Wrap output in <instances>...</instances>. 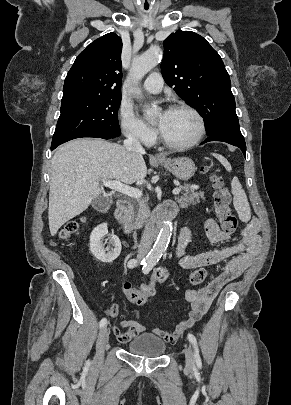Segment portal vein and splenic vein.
Instances as JSON below:
<instances>
[{
	"instance_id": "1",
	"label": "portal vein and splenic vein",
	"mask_w": 291,
	"mask_h": 405,
	"mask_svg": "<svg viewBox=\"0 0 291 405\" xmlns=\"http://www.w3.org/2000/svg\"><path fill=\"white\" fill-rule=\"evenodd\" d=\"M103 186L111 188L112 190H115L117 192H120L122 194H125L129 197L139 199L142 196V192L139 189L132 188L130 186H127L125 184H122L120 181H103ZM199 186L197 185H192L191 189H198ZM181 189L180 188H175L173 190L174 195H178L180 193Z\"/></svg>"
}]
</instances>
